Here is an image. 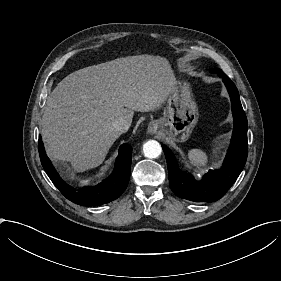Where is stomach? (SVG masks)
<instances>
[{
    "instance_id": "stomach-1",
    "label": "stomach",
    "mask_w": 281,
    "mask_h": 281,
    "mask_svg": "<svg viewBox=\"0 0 281 281\" xmlns=\"http://www.w3.org/2000/svg\"><path fill=\"white\" fill-rule=\"evenodd\" d=\"M198 120L199 107L192 84L183 79L171 91L162 117L156 120V125L150 124L149 127L161 132L167 142L183 143L190 138Z\"/></svg>"
}]
</instances>
